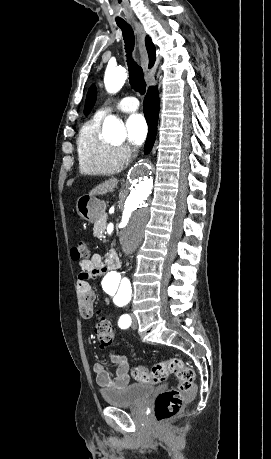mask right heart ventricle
Returning <instances> with one entry per match:
<instances>
[{
	"label": "right heart ventricle",
	"mask_w": 271,
	"mask_h": 459,
	"mask_svg": "<svg viewBox=\"0 0 271 459\" xmlns=\"http://www.w3.org/2000/svg\"><path fill=\"white\" fill-rule=\"evenodd\" d=\"M100 119L86 121L77 137L78 168L83 175H109L122 167L115 146L100 137Z\"/></svg>",
	"instance_id": "1"
}]
</instances>
